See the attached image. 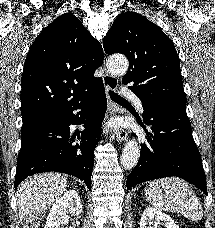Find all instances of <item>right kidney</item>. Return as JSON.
<instances>
[{"mask_svg": "<svg viewBox=\"0 0 215 228\" xmlns=\"http://www.w3.org/2000/svg\"><path fill=\"white\" fill-rule=\"evenodd\" d=\"M82 212V204L80 196L75 190H68L54 202L47 218L45 228H60V226H67L71 216H79Z\"/></svg>", "mask_w": 215, "mask_h": 228, "instance_id": "right-kidney-1", "label": "right kidney"}]
</instances>
